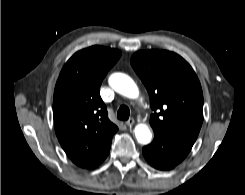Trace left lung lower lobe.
Returning <instances> with one entry per match:
<instances>
[{"label":"left lung lower lobe","mask_w":245,"mask_h":195,"mask_svg":"<svg viewBox=\"0 0 245 195\" xmlns=\"http://www.w3.org/2000/svg\"><path fill=\"white\" fill-rule=\"evenodd\" d=\"M193 144L168 133L154 132V140L143 148V155L154 168L170 170L188 155Z\"/></svg>","instance_id":"0a47b994"}]
</instances>
